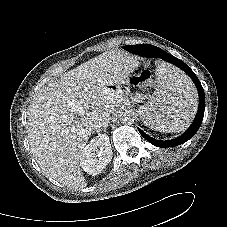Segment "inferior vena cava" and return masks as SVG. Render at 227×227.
<instances>
[{"label":"inferior vena cava","mask_w":227,"mask_h":227,"mask_svg":"<svg viewBox=\"0 0 227 227\" xmlns=\"http://www.w3.org/2000/svg\"><path fill=\"white\" fill-rule=\"evenodd\" d=\"M109 120H110L109 116L98 118L95 124L93 125L94 129L97 131H100L102 127H105L106 125H108Z\"/></svg>","instance_id":"602c4592"}]
</instances>
